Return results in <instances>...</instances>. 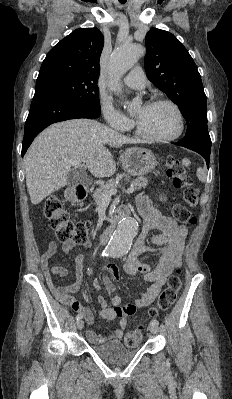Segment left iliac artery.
I'll list each match as a JSON object with an SVG mask.
<instances>
[{
	"instance_id": "obj_1",
	"label": "left iliac artery",
	"mask_w": 232,
	"mask_h": 399,
	"mask_svg": "<svg viewBox=\"0 0 232 399\" xmlns=\"http://www.w3.org/2000/svg\"><path fill=\"white\" fill-rule=\"evenodd\" d=\"M151 324L154 325V326H158L159 322L156 319H152Z\"/></svg>"
}]
</instances>
